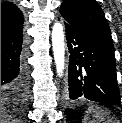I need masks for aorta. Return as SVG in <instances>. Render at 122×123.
<instances>
[{
  "label": "aorta",
  "mask_w": 122,
  "mask_h": 123,
  "mask_svg": "<svg viewBox=\"0 0 122 123\" xmlns=\"http://www.w3.org/2000/svg\"><path fill=\"white\" fill-rule=\"evenodd\" d=\"M52 49L57 74L61 77L65 68L64 30L61 23L54 24L52 29Z\"/></svg>",
  "instance_id": "762f6f07"
}]
</instances>
